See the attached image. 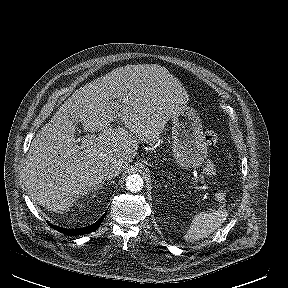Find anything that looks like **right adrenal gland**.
I'll list each match as a JSON object with an SVG mask.
<instances>
[{
    "label": "right adrenal gland",
    "mask_w": 288,
    "mask_h": 288,
    "mask_svg": "<svg viewBox=\"0 0 288 288\" xmlns=\"http://www.w3.org/2000/svg\"><path fill=\"white\" fill-rule=\"evenodd\" d=\"M103 184H104V182H102L98 187H97V189L96 190H99V189H102V187H103ZM97 193H98V191H97ZM93 197H95V195H93Z\"/></svg>",
    "instance_id": "1"
}]
</instances>
